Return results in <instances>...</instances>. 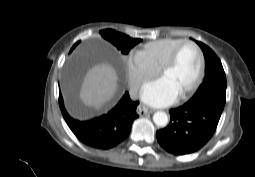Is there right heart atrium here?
Listing matches in <instances>:
<instances>
[{
    "mask_svg": "<svg viewBox=\"0 0 255 177\" xmlns=\"http://www.w3.org/2000/svg\"><path fill=\"white\" fill-rule=\"evenodd\" d=\"M158 70L150 65L139 53L131 54L127 60V75L133 93H138Z\"/></svg>",
    "mask_w": 255,
    "mask_h": 177,
    "instance_id": "1",
    "label": "right heart atrium"
}]
</instances>
